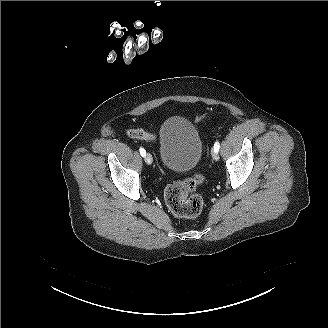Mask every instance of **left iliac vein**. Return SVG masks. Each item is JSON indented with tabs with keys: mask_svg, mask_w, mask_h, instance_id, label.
Instances as JSON below:
<instances>
[{
	"mask_svg": "<svg viewBox=\"0 0 328 328\" xmlns=\"http://www.w3.org/2000/svg\"><path fill=\"white\" fill-rule=\"evenodd\" d=\"M211 155H212V158H213L215 161H218V160H219V156H218L217 152H215L214 150L212 151Z\"/></svg>",
	"mask_w": 328,
	"mask_h": 328,
	"instance_id": "4c4485c4",
	"label": "left iliac vein"
}]
</instances>
